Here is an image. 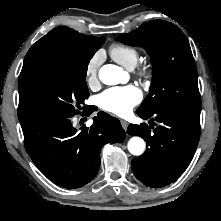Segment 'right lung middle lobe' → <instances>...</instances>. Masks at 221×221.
Segmentation results:
<instances>
[{
  "label": "right lung middle lobe",
  "mask_w": 221,
  "mask_h": 221,
  "mask_svg": "<svg viewBox=\"0 0 221 221\" xmlns=\"http://www.w3.org/2000/svg\"><path fill=\"white\" fill-rule=\"evenodd\" d=\"M93 55L91 50H78L24 81L18 87L20 123L54 114L75 115L89 96L85 79Z\"/></svg>",
  "instance_id": "obj_1"
}]
</instances>
